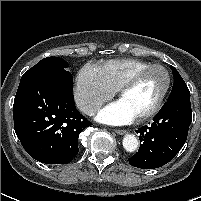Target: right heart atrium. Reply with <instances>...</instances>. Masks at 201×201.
I'll return each instance as SVG.
<instances>
[{"label": "right heart atrium", "mask_w": 201, "mask_h": 201, "mask_svg": "<svg viewBox=\"0 0 201 201\" xmlns=\"http://www.w3.org/2000/svg\"><path fill=\"white\" fill-rule=\"evenodd\" d=\"M114 93L103 80L97 67L85 65L78 72L74 95L78 107L85 114H94L114 96Z\"/></svg>", "instance_id": "obj_1"}]
</instances>
